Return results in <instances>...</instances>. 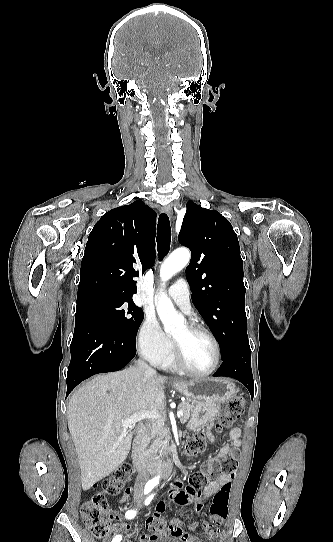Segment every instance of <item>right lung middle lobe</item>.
<instances>
[{
  "label": "right lung middle lobe",
  "instance_id": "right-lung-middle-lobe-1",
  "mask_svg": "<svg viewBox=\"0 0 333 542\" xmlns=\"http://www.w3.org/2000/svg\"><path fill=\"white\" fill-rule=\"evenodd\" d=\"M92 311L102 317L121 338L130 345L136 344L138 328L144 318L142 309L134 302L117 301L105 295H92L76 311Z\"/></svg>",
  "mask_w": 333,
  "mask_h": 542
}]
</instances>
